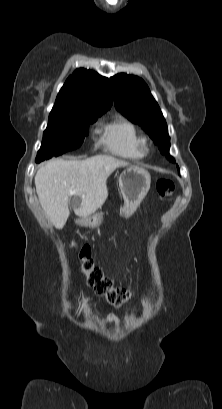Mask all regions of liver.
<instances>
[{
  "label": "liver",
  "mask_w": 222,
  "mask_h": 409,
  "mask_svg": "<svg viewBox=\"0 0 222 409\" xmlns=\"http://www.w3.org/2000/svg\"><path fill=\"white\" fill-rule=\"evenodd\" d=\"M130 164L110 155H95L83 160L53 159L35 175L39 202L51 221L62 229L69 217L68 203L75 196L74 212L89 216L101 208L108 197L106 181L119 167Z\"/></svg>",
  "instance_id": "1"
}]
</instances>
